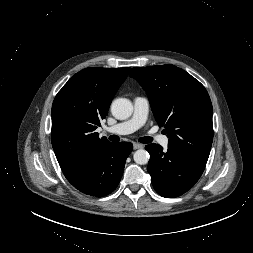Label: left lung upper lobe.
I'll return each mask as SVG.
<instances>
[{
    "label": "left lung upper lobe",
    "mask_w": 253,
    "mask_h": 253,
    "mask_svg": "<svg viewBox=\"0 0 253 253\" xmlns=\"http://www.w3.org/2000/svg\"><path fill=\"white\" fill-rule=\"evenodd\" d=\"M129 75L146 91L168 148L207 162L212 141V104L205 87L171 64L132 68Z\"/></svg>",
    "instance_id": "5c2ea615"
}]
</instances>
